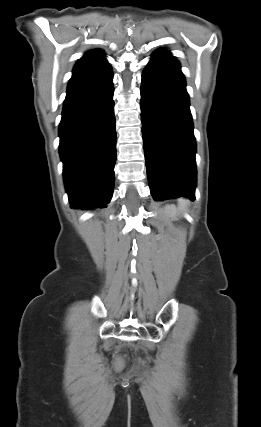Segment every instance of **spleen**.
<instances>
[{
    "instance_id": "1",
    "label": "spleen",
    "mask_w": 261,
    "mask_h": 427,
    "mask_svg": "<svg viewBox=\"0 0 261 427\" xmlns=\"http://www.w3.org/2000/svg\"><path fill=\"white\" fill-rule=\"evenodd\" d=\"M188 206V201L184 198H180L178 201V209L180 212L186 211Z\"/></svg>"
}]
</instances>
